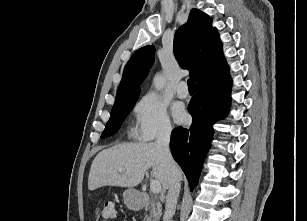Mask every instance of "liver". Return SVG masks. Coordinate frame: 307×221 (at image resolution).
I'll return each instance as SVG.
<instances>
[{
    "label": "liver",
    "instance_id": "obj_1",
    "mask_svg": "<svg viewBox=\"0 0 307 221\" xmlns=\"http://www.w3.org/2000/svg\"><path fill=\"white\" fill-rule=\"evenodd\" d=\"M151 167L152 177L163 189L170 187L174 176L182 179L179 166L175 163L174 171L169 169L156 142L122 143L97 154L89 172L88 189L93 191L106 185L133 188Z\"/></svg>",
    "mask_w": 307,
    "mask_h": 221
}]
</instances>
